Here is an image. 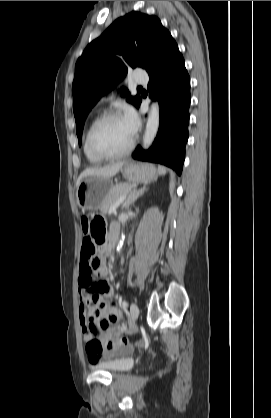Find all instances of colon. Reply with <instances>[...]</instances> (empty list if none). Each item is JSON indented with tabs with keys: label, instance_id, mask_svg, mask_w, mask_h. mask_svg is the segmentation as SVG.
<instances>
[{
	"label": "colon",
	"instance_id": "5ec220e1",
	"mask_svg": "<svg viewBox=\"0 0 271 418\" xmlns=\"http://www.w3.org/2000/svg\"><path fill=\"white\" fill-rule=\"evenodd\" d=\"M82 229L84 231L85 237L89 238V241L95 242V255L97 248L100 247L105 241V222L101 217H95L89 219L87 217L82 218L81 220ZM96 257V256H95ZM86 269L89 273V262H87ZM123 327H121L122 329ZM91 333L96 337L99 334V327L93 326ZM122 342L127 343V339L124 337L121 339ZM91 349H99L100 343L95 339L90 343Z\"/></svg>",
	"mask_w": 271,
	"mask_h": 418
}]
</instances>
